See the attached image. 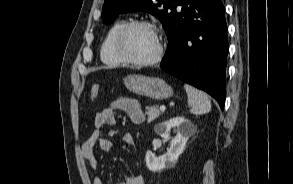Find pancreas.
I'll return each instance as SVG.
<instances>
[{"mask_svg": "<svg viewBox=\"0 0 293 184\" xmlns=\"http://www.w3.org/2000/svg\"><path fill=\"white\" fill-rule=\"evenodd\" d=\"M146 114L148 115V123L153 122L160 115V111L157 106L146 107Z\"/></svg>", "mask_w": 293, "mask_h": 184, "instance_id": "obj_1", "label": "pancreas"}]
</instances>
